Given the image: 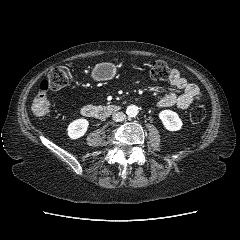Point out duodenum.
Segmentation results:
<instances>
[{"label":"duodenum","mask_w":240,"mask_h":240,"mask_svg":"<svg viewBox=\"0 0 240 240\" xmlns=\"http://www.w3.org/2000/svg\"><path fill=\"white\" fill-rule=\"evenodd\" d=\"M119 110V106L117 105H85L81 109V113L83 116L92 119H104L111 114L117 112Z\"/></svg>","instance_id":"410a0bca"}]
</instances>
